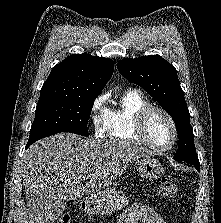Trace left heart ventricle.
Segmentation results:
<instances>
[{
	"label": "left heart ventricle",
	"mask_w": 221,
	"mask_h": 223,
	"mask_svg": "<svg viewBox=\"0 0 221 223\" xmlns=\"http://www.w3.org/2000/svg\"><path fill=\"white\" fill-rule=\"evenodd\" d=\"M147 136L158 146H167L173 138V130L168 119L161 113L155 112L147 123Z\"/></svg>",
	"instance_id": "1"
}]
</instances>
